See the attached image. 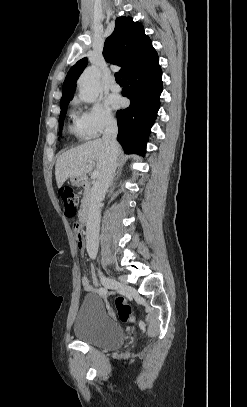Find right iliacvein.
<instances>
[{"mask_svg":"<svg viewBox=\"0 0 247 407\" xmlns=\"http://www.w3.org/2000/svg\"><path fill=\"white\" fill-rule=\"evenodd\" d=\"M99 276H100L102 284L107 288L121 290V291H130L131 290V287L128 286L127 284L121 283L115 279L109 278V277L105 276L104 274H102L101 272H99Z\"/></svg>","mask_w":247,"mask_h":407,"instance_id":"right-iliac-vein-1","label":"right iliac vein"}]
</instances>
